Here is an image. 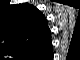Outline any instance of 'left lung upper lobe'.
Returning a JSON list of instances; mask_svg holds the SVG:
<instances>
[{"mask_svg": "<svg viewBox=\"0 0 80 60\" xmlns=\"http://www.w3.org/2000/svg\"><path fill=\"white\" fill-rule=\"evenodd\" d=\"M19 9H20V13H19L20 17L21 16L24 17V23L26 22V24H28V26H30L32 24V21L29 19L28 15L26 16L27 13L29 14V16H30L31 12L36 13L39 16H41V13L33 5H26L24 7H19ZM28 10H30V11L28 12ZM31 30H33L32 27H25V28L21 29V31L19 32V35L16 37V42L19 45L18 48L29 49L32 47V45L34 43L37 42V40H38L37 33L32 32Z\"/></svg>", "mask_w": 80, "mask_h": 60, "instance_id": "obj_1", "label": "left lung upper lobe"}]
</instances>
